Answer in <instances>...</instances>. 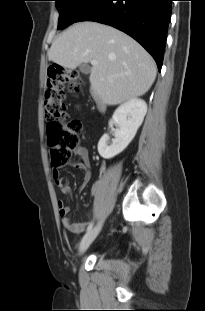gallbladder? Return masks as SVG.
<instances>
[{
	"label": "gallbladder",
	"mask_w": 205,
	"mask_h": 311,
	"mask_svg": "<svg viewBox=\"0 0 205 311\" xmlns=\"http://www.w3.org/2000/svg\"><path fill=\"white\" fill-rule=\"evenodd\" d=\"M79 70L84 74L90 73V67L87 64H81Z\"/></svg>",
	"instance_id": "1"
}]
</instances>
